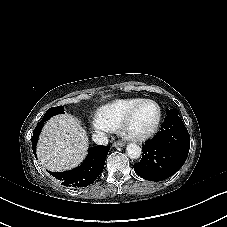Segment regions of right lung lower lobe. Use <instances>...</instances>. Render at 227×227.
I'll list each match as a JSON object with an SVG mask.
<instances>
[{
    "instance_id": "98d812e1",
    "label": "right lung lower lobe",
    "mask_w": 227,
    "mask_h": 227,
    "mask_svg": "<svg viewBox=\"0 0 227 227\" xmlns=\"http://www.w3.org/2000/svg\"><path fill=\"white\" fill-rule=\"evenodd\" d=\"M43 125L44 121H40L33 131L32 148L35 156L36 144ZM109 149L110 147L108 146L100 145L91 147L88 149L86 159L79 167L60 173L48 172L64 186L75 188L86 187L92 184L102 173Z\"/></svg>"
}]
</instances>
